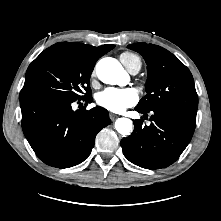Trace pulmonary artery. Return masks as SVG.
<instances>
[{
    "mask_svg": "<svg viewBox=\"0 0 221 221\" xmlns=\"http://www.w3.org/2000/svg\"><path fill=\"white\" fill-rule=\"evenodd\" d=\"M141 68V64L140 63H134L128 70L131 74L135 75L139 72Z\"/></svg>",
    "mask_w": 221,
    "mask_h": 221,
    "instance_id": "obj_1",
    "label": "pulmonary artery"
}]
</instances>
